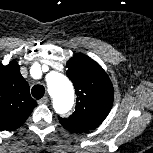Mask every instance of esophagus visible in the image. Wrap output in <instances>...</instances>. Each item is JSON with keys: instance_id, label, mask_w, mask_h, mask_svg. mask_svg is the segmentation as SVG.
I'll list each match as a JSON object with an SVG mask.
<instances>
[{"instance_id": "34e87169", "label": "esophagus", "mask_w": 153, "mask_h": 153, "mask_svg": "<svg viewBox=\"0 0 153 153\" xmlns=\"http://www.w3.org/2000/svg\"><path fill=\"white\" fill-rule=\"evenodd\" d=\"M48 101H49L48 97L45 96V97H43L42 99H40V100L38 101V103L41 104V105H43V104H46Z\"/></svg>"}]
</instances>
